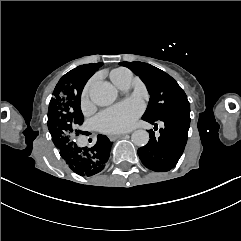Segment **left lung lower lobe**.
<instances>
[{
    "instance_id": "obj_1",
    "label": "left lung lower lobe",
    "mask_w": 241,
    "mask_h": 241,
    "mask_svg": "<svg viewBox=\"0 0 241 241\" xmlns=\"http://www.w3.org/2000/svg\"><path fill=\"white\" fill-rule=\"evenodd\" d=\"M157 121L165 124L160 129L159 138L150 130V140L138 149V155L148 169L165 172L177 164L184 151L190 126V106L180 108L159 120L151 119L147 122L155 124Z\"/></svg>"
}]
</instances>
